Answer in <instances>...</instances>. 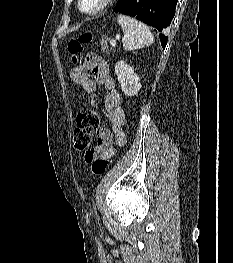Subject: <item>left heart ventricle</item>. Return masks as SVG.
<instances>
[{
    "label": "left heart ventricle",
    "mask_w": 233,
    "mask_h": 263,
    "mask_svg": "<svg viewBox=\"0 0 233 263\" xmlns=\"http://www.w3.org/2000/svg\"><path fill=\"white\" fill-rule=\"evenodd\" d=\"M100 0H83V7L87 10L94 9L98 4Z\"/></svg>",
    "instance_id": "obj_1"
}]
</instances>
